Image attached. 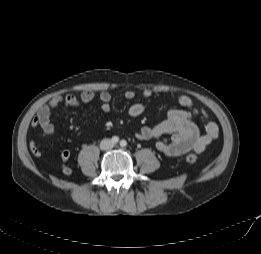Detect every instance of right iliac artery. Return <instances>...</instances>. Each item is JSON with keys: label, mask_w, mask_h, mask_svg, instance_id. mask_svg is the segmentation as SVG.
<instances>
[{"label": "right iliac artery", "mask_w": 261, "mask_h": 254, "mask_svg": "<svg viewBox=\"0 0 261 254\" xmlns=\"http://www.w3.org/2000/svg\"><path fill=\"white\" fill-rule=\"evenodd\" d=\"M112 142L115 143V144L118 143L119 138L117 136L112 137Z\"/></svg>", "instance_id": "obj_1"}]
</instances>
